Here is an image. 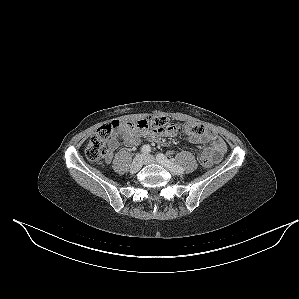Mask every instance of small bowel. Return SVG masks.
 <instances>
[{"instance_id": "1", "label": "small bowel", "mask_w": 299, "mask_h": 299, "mask_svg": "<svg viewBox=\"0 0 299 299\" xmlns=\"http://www.w3.org/2000/svg\"><path fill=\"white\" fill-rule=\"evenodd\" d=\"M120 134L124 143L129 147L138 146L141 137H148L154 139L156 134L173 136L175 133H158L150 132L148 129L131 128L125 124L120 127ZM189 141L193 144H209L203 151L198 155L199 160L207 158L214 162H219L226 152V144L224 140L218 136L216 133L205 129L202 126V130L198 133L190 134L188 137ZM117 146V140L112 139L111 149L106 161L111 160V151Z\"/></svg>"}]
</instances>
